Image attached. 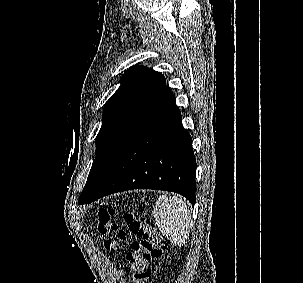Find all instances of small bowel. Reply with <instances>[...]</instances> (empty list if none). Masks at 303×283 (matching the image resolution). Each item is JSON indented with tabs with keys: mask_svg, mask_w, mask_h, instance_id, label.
Here are the masks:
<instances>
[{
	"mask_svg": "<svg viewBox=\"0 0 303 283\" xmlns=\"http://www.w3.org/2000/svg\"><path fill=\"white\" fill-rule=\"evenodd\" d=\"M124 274V272L123 271H120V275H123Z\"/></svg>",
	"mask_w": 303,
	"mask_h": 283,
	"instance_id": "1",
	"label": "small bowel"
}]
</instances>
